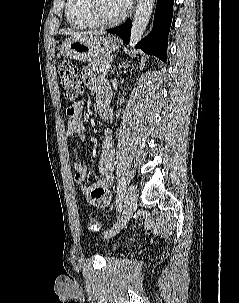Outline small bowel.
I'll return each instance as SVG.
<instances>
[{
  "mask_svg": "<svg viewBox=\"0 0 239 303\" xmlns=\"http://www.w3.org/2000/svg\"><path fill=\"white\" fill-rule=\"evenodd\" d=\"M82 81L87 89L94 91L99 106H108L110 100V89L106 81L95 77L88 69H83L81 73ZM67 124L66 135L85 138V123L82 116V103L69 106L66 109ZM115 164V150L113 137L109 131L106 132L102 143L101 157L98 164L101 178L91 184H85L88 176V167L82 163L74 164L75 180L82 184V193L85 199L97 206H106L111 199V188L113 185V168Z\"/></svg>",
  "mask_w": 239,
  "mask_h": 303,
  "instance_id": "1",
  "label": "small bowel"
}]
</instances>
